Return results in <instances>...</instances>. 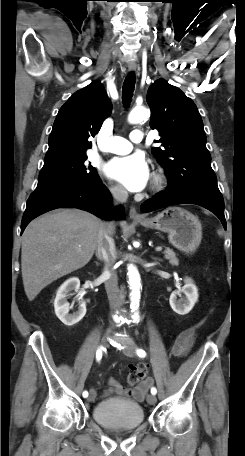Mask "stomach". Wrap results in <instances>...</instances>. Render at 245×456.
Instances as JSON below:
<instances>
[{
	"label": "stomach",
	"instance_id": "1",
	"mask_svg": "<svg viewBox=\"0 0 245 456\" xmlns=\"http://www.w3.org/2000/svg\"><path fill=\"white\" fill-rule=\"evenodd\" d=\"M138 223L145 228L167 233L169 242L185 253L194 252L202 239L199 219L180 207L164 209L155 217L139 220Z\"/></svg>",
	"mask_w": 245,
	"mask_h": 456
}]
</instances>
